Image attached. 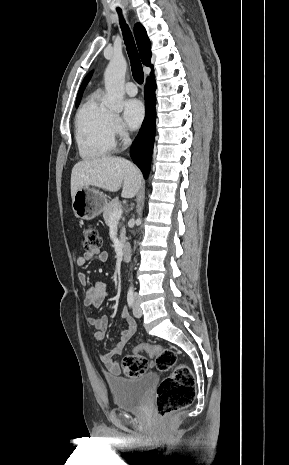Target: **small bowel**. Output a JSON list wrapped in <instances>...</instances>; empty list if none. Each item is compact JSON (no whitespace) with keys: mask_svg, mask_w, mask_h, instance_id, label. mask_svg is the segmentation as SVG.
I'll use <instances>...</instances> for the list:
<instances>
[{"mask_svg":"<svg viewBox=\"0 0 289 465\" xmlns=\"http://www.w3.org/2000/svg\"><path fill=\"white\" fill-rule=\"evenodd\" d=\"M96 257L101 262H106L108 260V253L106 251H101L99 249L86 252L77 260V265L79 267H84L90 260ZM78 280L83 285L86 286L88 283V278L86 273L79 272ZM108 295V285L103 281H96L92 286L86 288L85 291V304L89 307L98 308L103 303L104 299ZM122 318L127 323V328L121 331L117 342L114 347L107 353L101 355V359L105 364L107 370L112 375L120 374V367L118 362L115 360V357L120 355L124 350L125 346L132 338L136 331V323L130 317L129 313L126 310L122 311ZM89 324L93 326L96 331L94 333V338L97 342L104 340L106 336V331L109 325V319L106 316L101 318L91 317L88 320Z\"/></svg>","mask_w":289,"mask_h":465,"instance_id":"obj_1","label":"small bowel"}]
</instances>
